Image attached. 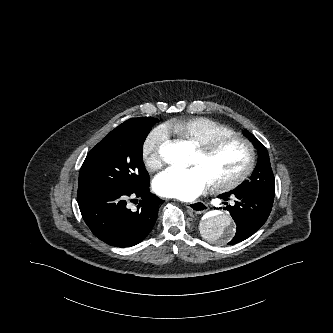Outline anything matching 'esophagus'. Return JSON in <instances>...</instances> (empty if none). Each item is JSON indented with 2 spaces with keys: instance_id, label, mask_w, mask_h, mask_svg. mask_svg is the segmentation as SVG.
Listing matches in <instances>:
<instances>
[{
  "instance_id": "34e87169",
  "label": "esophagus",
  "mask_w": 333,
  "mask_h": 333,
  "mask_svg": "<svg viewBox=\"0 0 333 333\" xmlns=\"http://www.w3.org/2000/svg\"><path fill=\"white\" fill-rule=\"evenodd\" d=\"M191 212L195 214H202L207 210V205L201 201H195L191 203L184 204Z\"/></svg>"
}]
</instances>
